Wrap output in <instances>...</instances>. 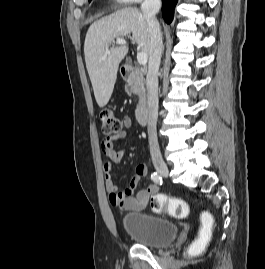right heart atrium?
Wrapping results in <instances>:
<instances>
[{
	"label": "right heart atrium",
	"mask_w": 265,
	"mask_h": 269,
	"mask_svg": "<svg viewBox=\"0 0 265 269\" xmlns=\"http://www.w3.org/2000/svg\"><path fill=\"white\" fill-rule=\"evenodd\" d=\"M117 2L125 5H130V4H137L140 3L143 0H116Z\"/></svg>",
	"instance_id": "obj_1"
}]
</instances>
